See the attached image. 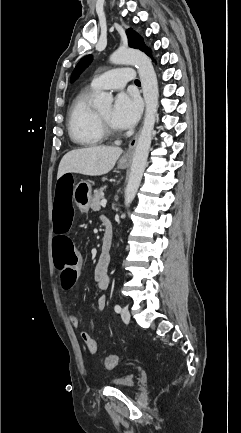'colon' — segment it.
Here are the masks:
<instances>
[{
  "mask_svg": "<svg viewBox=\"0 0 241 433\" xmlns=\"http://www.w3.org/2000/svg\"><path fill=\"white\" fill-rule=\"evenodd\" d=\"M72 178L71 172H62L60 177H57L52 202L55 234L51 241V249L55 263L61 272L63 287L66 289L72 286L79 265L72 234H66L67 229L72 225L71 216H73V207H69L73 194ZM116 365V355L110 354L104 359L105 368L113 369Z\"/></svg>",
  "mask_w": 241,
  "mask_h": 433,
  "instance_id": "obj_1",
  "label": "colon"
}]
</instances>
